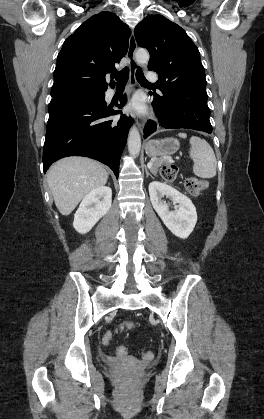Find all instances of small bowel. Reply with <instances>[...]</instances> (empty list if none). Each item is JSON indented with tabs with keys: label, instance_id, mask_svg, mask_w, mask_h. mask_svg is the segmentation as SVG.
I'll list each match as a JSON object with an SVG mask.
<instances>
[{
	"label": "small bowel",
	"instance_id": "obj_1",
	"mask_svg": "<svg viewBox=\"0 0 264 419\" xmlns=\"http://www.w3.org/2000/svg\"><path fill=\"white\" fill-rule=\"evenodd\" d=\"M115 354L117 357H123L126 355V348L124 346H119L116 351Z\"/></svg>",
	"mask_w": 264,
	"mask_h": 419
}]
</instances>
